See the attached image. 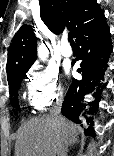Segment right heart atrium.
Instances as JSON below:
<instances>
[{
  "instance_id": "d8ad5b80",
  "label": "right heart atrium",
  "mask_w": 114,
  "mask_h": 156,
  "mask_svg": "<svg viewBox=\"0 0 114 156\" xmlns=\"http://www.w3.org/2000/svg\"><path fill=\"white\" fill-rule=\"evenodd\" d=\"M26 87L29 103L38 111L59 103L64 96L59 74L51 67L33 66L27 74Z\"/></svg>"
}]
</instances>
